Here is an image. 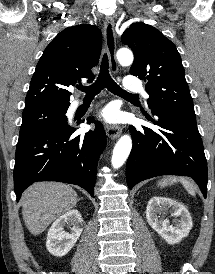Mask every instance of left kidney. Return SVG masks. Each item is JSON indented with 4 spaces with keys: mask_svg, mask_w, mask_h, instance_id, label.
<instances>
[{
    "mask_svg": "<svg viewBox=\"0 0 215 274\" xmlns=\"http://www.w3.org/2000/svg\"><path fill=\"white\" fill-rule=\"evenodd\" d=\"M167 209L176 217L174 225L168 219L158 216ZM148 224L169 244H177L187 237L193 224L188 209L181 203L165 197H153L146 209Z\"/></svg>",
    "mask_w": 215,
    "mask_h": 274,
    "instance_id": "5707ae66",
    "label": "left kidney"
}]
</instances>
